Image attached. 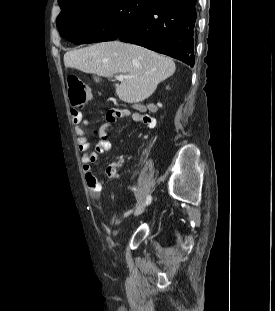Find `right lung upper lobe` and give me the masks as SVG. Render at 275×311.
<instances>
[{
  "label": "right lung upper lobe",
  "mask_w": 275,
  "mask_h": 311,
  "mask_svg": "<svg viewBox=\"0 0 275 311\" xmlns=\"http://www.w3.org/2000/svg\"><path fill=\"white\" fill-rule=\"evenodd\" d=\"M68 1H71V0H58V3H59V5H62V4H64L65 2H68Z\"/></svg>",
  "instance_id": "cb5924a9"
}]
</instances>
